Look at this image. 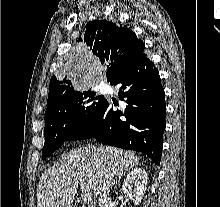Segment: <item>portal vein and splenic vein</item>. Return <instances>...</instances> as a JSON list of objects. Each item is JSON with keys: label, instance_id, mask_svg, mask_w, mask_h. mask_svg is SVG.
Masks as SVG:
<instances>
[{"label": "portal vein and splenic vein", "instance_id": "18ae733b", "mask_svg": "<svg viewBox=\"0 0 220 207\" xmlns=\"http://www.w3.org/2000/svg\"><path fill=\"white\" fill-rule=\"evenodd\" d=\"M82 200H83V202H84L85 204L90 203L91 200H92L91 194H89V193L83 194V195H82Z\"/></svg>", "mask_w": 220, "mask_h": 207}]
</instances>
